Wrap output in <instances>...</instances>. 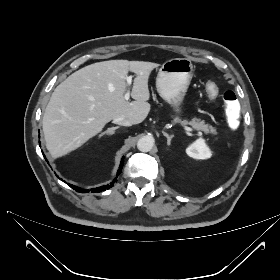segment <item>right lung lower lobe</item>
<instances>
[{
	"mask_svg": "<svg viewBox=\"0 0 280 280\" xmlns=\"http://www.w3.org/2000/svg\"><path fill=\"white\" fill-rule=\"evenodd\" d=\"M123 162H124V157L122 158V160H121V162H120V167H119V169H118V171H117V175H116V176H118V175L121 173V170H122V168H123ZM113 183H114V182H111L110 184H108V185H106V186H101V187H98V188H92V189H91V192H102V191H104V190H106V189L111 188V187L113 186ZM69 186H70L71 188H73L74 190H76V191H78V192H81V193H86L87 191H89V190L86 191L85 189H82V188H78V187L73 186V185H71V184H69Z\"/></svg>",
	"mask_w": 280,
	"mask_h": 280,
	"instance_id": "1",
	"label": "right lung lower lobe"
}]
</instances>
